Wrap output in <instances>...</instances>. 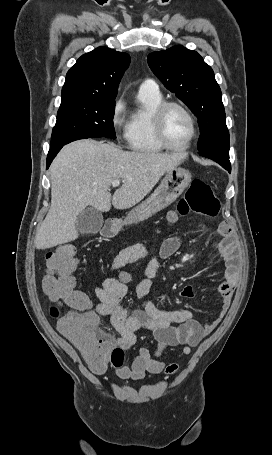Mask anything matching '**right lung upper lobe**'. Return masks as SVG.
Returning <instances> with one entry per match:
<instances>
[{
	"instance_id": "obj_1",
	"label": "right lung upper lobe",
	"mask_w": 272,
	"mask_h": 455,
	"mask_svg": "<svg viewBox=\"0 0 272 455\" xmlns=\"http://www.w3.org/2000/svg\"><path fill=\"white\" fill-rule=\"evenodd\" d=\"M129 63L127 53L107 47L82 55L66 74L61 103L114 101Z\"/></svg>"
}]
</instances>
